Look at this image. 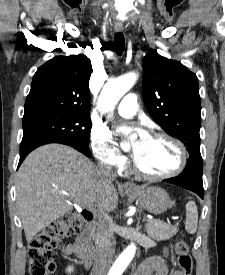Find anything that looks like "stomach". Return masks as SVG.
Returning a JSON list of instances; mask_svg holds the SVG:
<instances>
[{"label": "stomach", "mask_w": 225, "mask_h": 275, "mask_svg": "<svg viewBox=\"0 0 225 275\" xmlns=\"http://www.w3.org/2000/svg\"><path fill=\"white\" fill-rule=\"evenodd\" d=\"M127 194L137 198L140 205L151 214H162L171 205L168 193L157 186L138 187L134 191H127Z\"/></svg>", "instance_id": "stomach-1"}]
</instances>
